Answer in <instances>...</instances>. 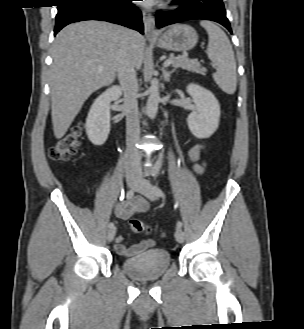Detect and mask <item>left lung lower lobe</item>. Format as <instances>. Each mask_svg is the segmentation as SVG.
I'll list each match as a JSON object with an SVG mask.
<instances>
[{
	"mask_svg": "<svg viewBox=\"0 0 304 329\" xmlns=\"http://www.w3.org/2000/svg\"><path fill=\"white\" fill-rule=\"evenodd\" d=\"M178 2L180 7L176 10L156 13L158 28L186 20L206 19L222 24L232 33L222 0H178Z\"/></svg>",
	"mask_w": 304,
	"mask_h": 329,
	"instance_id": "1",
	"label": "left lung lower lobe"
}]
</instances>
